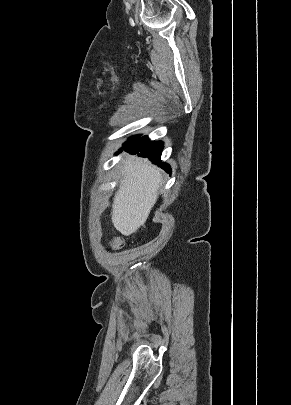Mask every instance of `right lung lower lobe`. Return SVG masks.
<instances>
[{"mask_svg":"<svg viewBox=\"0 0 291 405\" xmlns=\"http://www.w3.org/2000/svg\"><path fill=\"white\" fill-rule=\"evenodd\" d=\"M123 149L142 157H148L149 160L157 163L165 171L171 172L170 166L167 163H161L160 157L163 150V142H151L147 136L139 137L132 143L123 146Z\"/></svg>","mask_w":291,"mask_h":405,"instance_id":"right-lung-lower-lobe-1","label":"right lung lower lobe"}]
</instances>
